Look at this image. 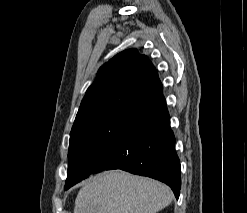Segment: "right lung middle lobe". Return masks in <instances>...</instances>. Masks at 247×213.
<instances>
[{
	"instance_id": "dd1d6c3e",
	"label": "right lung middle lobe",
	"mask_w": 247,
	"mask_h": 213,
	"mask_svg": "<svg viewBox=\"0 0 247 213\" xmlns=\"http://www.w3.org/2000/svg\"><path fill=\"white\" fill-rule=\"evenodd\" d=\"M130 107V102L116 105L72 128L65 190L95 172L100 154L117 137Z\"/></svg>"
}]
</instances>
